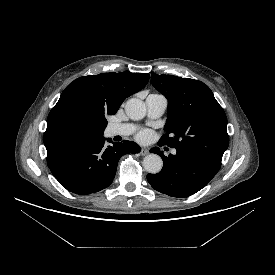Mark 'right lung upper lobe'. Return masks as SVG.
Wrapping results in <instances>:
<instances>
[{"label": "right lung upper lobe", "instance_id": "right-lung-upper-lobe-1", "mask_svg": "<svg viewBox=\"0 0 275 275\" xmlns=\"http://www.w3.org/2000/svg\"><path fill=\"white\" fill-rule=\"evenodd\" d=\"M150 75L145 73H102L77 78L62 92L47 118L46 149L102 136L96 120L114 115L122 102L143 89Z\"/></svg>", "mask_w": 275, "mask_h": 275}]
</instances>
